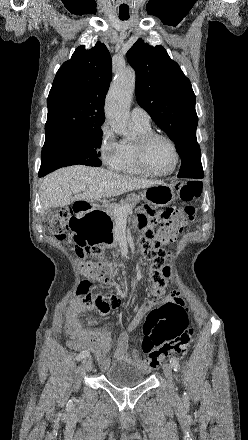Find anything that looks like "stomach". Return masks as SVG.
I'll return each instance as SVG.
<instances>
[{"label": "stomach", "mask_w": 248, "mask_h": 440, "mask_svg": "<svg viewBox=\"0 0 248 440\" xmlns=\"http://www.w3.org/2000/svg\"><path fill=\"white\" fill-rule=\"evenodd\" d=\"M144 199L158 207L169 205L175 197L172 186L162 183L144 191ZM82 218H71L70 231L75 241H84L85 246H116L114 237L116 218H111V209H90L88 204L79 206Z\"/></svg>", "instance_id": "1"}]
</instances>
